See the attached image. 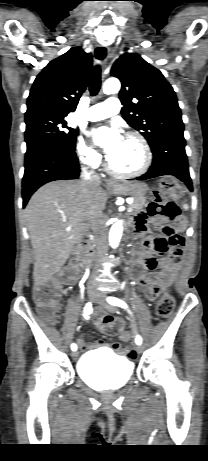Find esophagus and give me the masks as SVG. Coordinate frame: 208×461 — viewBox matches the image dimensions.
<instances>
[{"label":"esophagus","instance_id":"obj_1","mask_svg":"<svg viewBox=\"0 0 208 461\" xmlns=\"http://www.w3.org/2000/svg\"><path fill=\"white\" fill-rule=\"evenodd\" d=\"M101 51H104V52H105L103 62H104V63H107L108 60H109V58H110V49H109V47H107V48H105V49L102 48L101 50H99L98 57H97V55H96V59H97V60L101 59ZM106 185H107L108 187H112V186H115L116 184H115V182H113V181H107Z\"/></svg>","mask_w":208,"mask_h":461}]
</instances>
